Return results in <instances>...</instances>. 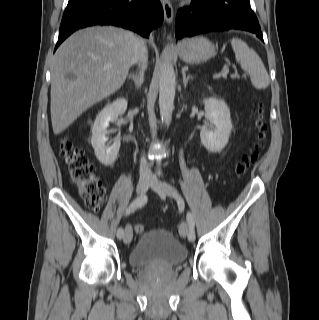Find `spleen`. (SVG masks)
Listing matches in <instances>:
<instances>
[{"instance_id":"3e777b00","label":"spleen","mask_w":319,"mask_h":320,"mask_svg":"<svg viewBox=\"0 0 319 320\" xmlns=\"http://www.w3.org/2000/svg\"><path fill=\"white\" fill-rule=\"evenodd\" d=\"M231 45L235 53L236 61L240 64L241 68L250 75L253 86L256 89L267 88L270 79L259 55L239 38L231 39Z\"/></svg>"}]
</instances>
